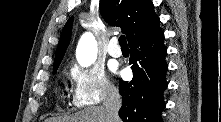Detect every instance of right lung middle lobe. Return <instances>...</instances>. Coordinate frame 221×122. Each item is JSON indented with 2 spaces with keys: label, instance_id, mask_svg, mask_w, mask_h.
<instances>
[{
  "label": "right lung middle lobe",
  "instance_id": "1",
  "mask_svg": "<svg viewBox=\"0 0 221 122\" xmlns=\"http://www.w3.org/2000/svg\"><path fill=\"white\" fill-rule=\"evenodd\" d=\"M57 71V69H53V73H55Z\"/></svg>",
  "mask_w": 221,
  "mask_h": 122
}]
</instances>
